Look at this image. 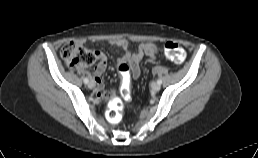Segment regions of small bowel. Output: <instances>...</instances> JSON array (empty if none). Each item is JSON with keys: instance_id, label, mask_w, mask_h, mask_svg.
Masks as SVG:
<instances>
[{"instance_id": "1", "label": "small bowel", "mask_w": 258, "mask_h": 158, "mask_svg": "<svg viewBox=\"0 0 258 158\" xmlns=\"http://www.w3.org/2000/svg\"><path fill=\"white\" fill-rule=\"evenodd\" d=\"M110 45L114 47L121 48L125 51V54L121 58V62H126L129 64L131 69V74L133 78H138L140 75V62L144 56H148L151 60L156 58L158 48L157 45L153 42H143L140 43L136 51H132L130 49L129 42L126 39H113L110 40ZM96 59L98 60V64L93 72V82L96 86L95 95L99 99H109L112 97V94L109 92H105L103 90L104 80L103 74L107 68V58L105 54L96 50L94 52Z\"/></svg>"}]
</instances>
